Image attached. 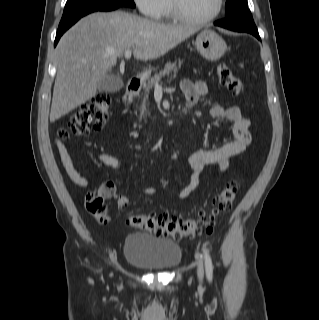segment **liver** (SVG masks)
Returning a JSON list of instances; mask_svg holds the SVG:
<instances>
[{"label":"liver","instance_id":"6515ba94","mask_svg":"<svg viewBox=\"0 0 319 320\" xmlns=\"http://www.w3.org/2000/svg\"><path fill=\"white\" fill-rule=\"evenodd\" d=\"M197 30L122 11L92 13L82 18L61 37L56 47L57 75L50 121L93 98L100 81L126 50L133 49L136 59L154 60Z\"/></svg>","mask_w":319,"mask_h":320}]
</instances>
